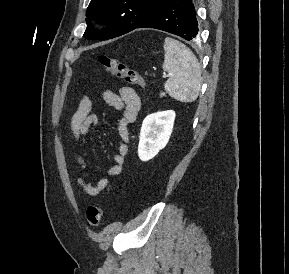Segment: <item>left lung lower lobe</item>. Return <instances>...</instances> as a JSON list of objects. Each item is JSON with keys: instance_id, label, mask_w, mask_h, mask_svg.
Segmentation results:
<instances>
[{"instance_id": "obj_1", "label": "left lung lower lobe", "mask_w": 289, "mask_h": 274, "mask_svg": "<svg viewBox=\"0 0 289 274\" xmlns=\"http://www.w3.org/2000/svg\"><path fill=\"white\" fill-rule=\"evenodd\" d=\"M136 28H155L194 40L199 29L193 1L165 0Z\"/></svg>"}]
</instances>
